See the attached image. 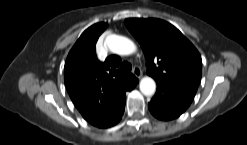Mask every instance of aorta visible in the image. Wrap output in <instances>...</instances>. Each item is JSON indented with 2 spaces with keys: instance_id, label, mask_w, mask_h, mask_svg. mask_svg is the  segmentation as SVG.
Wrapping results in <instances>:
<instances>
[{
  "instance_id": "aorta-1",
  "label": "aorta",
  "mask_w": 247,
  "mask_h": 145,
  "mask_svg": "<svg viewBox=\"0 0 247 145\" xmlns=\"http://www.w3.org/2000/svg\"><path fill=\"white\" fill-rule=\"evenodd\" d=\"M109 50L119 55H130L135 52V44L128 38L118 35H110L106 39ZM140 91L145 96H152L156 90V83L151 77H144L140 81Z\"/></svg>"
}]
</instances>
